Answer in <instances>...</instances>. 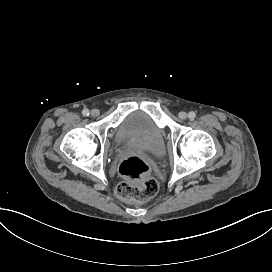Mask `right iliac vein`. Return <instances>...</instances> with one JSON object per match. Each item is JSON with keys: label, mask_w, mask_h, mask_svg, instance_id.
I'll list each match as a JSON object with an SVG mask.
<instances>
[{"label": "right iliac vein", "mask_w": 272, "mask_h": 272, "mask_svg": "<svg viewBox=\"0 0 272 272\" xmlns=\"http://www.w3.org/2000/svg\"><path fill=\"white\" fill-rule=\"evenodd\" d=\"M90 114L93 117H97L100 114V112L98 109H93V110H91Z\"/></svg>", "instance_id": "right-iliac-vein-1"}]
</instances>
